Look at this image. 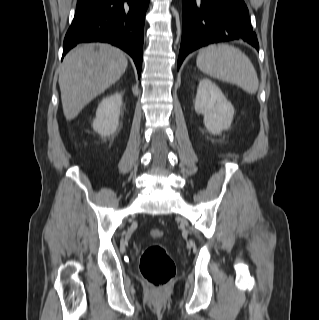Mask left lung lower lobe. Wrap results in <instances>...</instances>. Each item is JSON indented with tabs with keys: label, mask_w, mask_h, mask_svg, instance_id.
Wrapping results in <instances>:
<instances>
[{
	"label": "left lung lower lobe",
	"mask_w": 319,
	"mask_h": 320,
	"mask_svg": "<svg viewBox=\"0 0 319 320\" xmlns=\"http://www.w3.org/2000/svg\"><path fill=\"white\" fill-rule=\"evenodd\" d=\"M234 39L259 50L243 0H183V32L177 68L192 51Z\"/></svg>",
	"instance_id": "1"
}]
</instances>
